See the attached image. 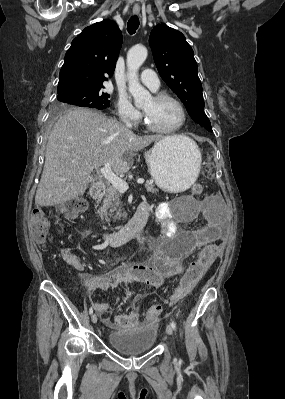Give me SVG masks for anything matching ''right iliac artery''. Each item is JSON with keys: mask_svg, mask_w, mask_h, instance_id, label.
Returning a JSON list of instances; mask_svg holds the SVG:
<instances>
[{"mask_svg": "<svg viewBox=\"0 0 285 399\" xmlns=\"http://www.w3.org/2000/svg\"><path fill=\"white\" fill-rule=\"evenodd\" d=\"M89 313H90V315L93 314V308L92 307L89 309Z\"/></svg>", "mask_w": 285, "mask_h": 399, "instance_id": "right-iliac-artery-1", "label": "right iliac artery"}]
</instances>
